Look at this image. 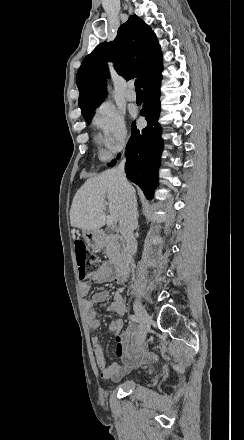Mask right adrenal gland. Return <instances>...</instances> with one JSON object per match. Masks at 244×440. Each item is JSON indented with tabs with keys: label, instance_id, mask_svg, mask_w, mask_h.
Returning a JSON list of instances; mask_svg holds the SVG:
<instances>
[{
	"label": "right adrenal gland",
	"instance_id": "right-adrenal-gland-1",
	"mask_svg": "<svg viewBox=\"0 0 244 440\" xmlns=\"http://www.w3.org/2000/svg\"><path fill=\"white\" fill-rule=\"evenodd\" d=\"M137 216H138V218H139V212H137Z\"/></svg>",
	"mask_w": 244,
	"mask_h": 440
}]
</instances>
